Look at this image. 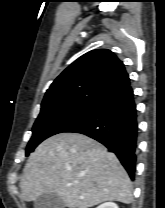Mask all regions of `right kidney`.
<instances>
[{
    "label": "right kidney",
    "instance_id": "1",
    "mask_svg": "<svg viewBox=\"0 0 165 208\" xmlns=\"http://www.w3.org/2000/svg\"><path fill=\"white\" fill-rule=\"evenodd\" d=\"M96 208H119V207L117 206V204L113 202H106V203L99 205Z\"/></svg>",
    "mask_w": 165,
    "mask_h": 208
}]
</instances>
